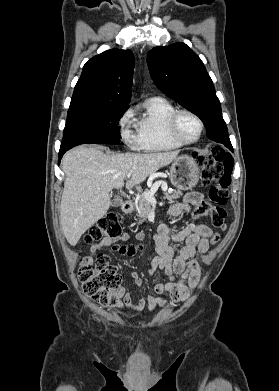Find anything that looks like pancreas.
<instances>
[{"label": "pancreas", "instance_id": "pancreas-1", "mask_svg": "<svg viewBox=\"0 0 279 391\" xmlns=\"http://www.w3.org/2000/svg\"><path fill=\"white\" fill-rule=\"evenodd\" d=\"M148 192V190H146L141 196L140 198L138 199L137 203H136V209H137V216L139 218H141L142 220H145L149 214V211L151 209V204L150 202H148L145 198H144V194ZM165 198L169 201H174L178 198H180V196H182V192L181 191H173V192H165Z\"/></svg>", "mask_w": 279, "mask_h": 391}]
</instances>
